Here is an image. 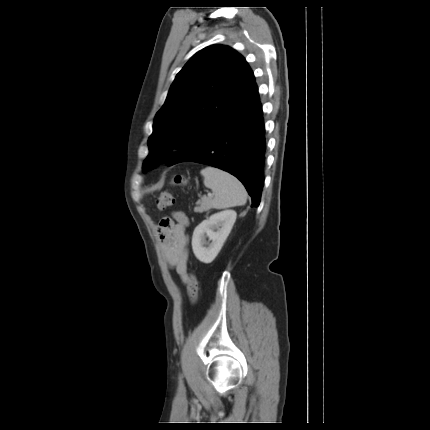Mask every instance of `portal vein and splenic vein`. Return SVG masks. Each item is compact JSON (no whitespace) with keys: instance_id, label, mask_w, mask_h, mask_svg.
<instances>
[{"instance_id":"portal-vein-and-splenic-vein-1","label":"portal vein and splenic vein","mask_w":430,"mask_h":430,"mask_svg":"<svg viewBox=\"0 0 430 430\" xmlns=\"http://www.w3.org/2000/svg\"><path fill=\"white\" fill-rule=\"evenodd\" d=\"M208 196H213V194L212 193H208Z\"/></svg>"}]
</instances>
